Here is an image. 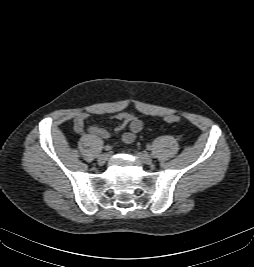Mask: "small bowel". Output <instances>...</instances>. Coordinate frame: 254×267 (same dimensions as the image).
Returning <instances> with one entry per match:
<instances>
[{"label":"small bowel","instance_id":"obj_1","mask_svg":"<svg viewBox=\"0 0 254 267\" xmlns=\"http://www.w3.org/2000/svg\"><path fill=\"white\" fill-rule=\"evenodd\" d=\"M87 118L86 113H79L74 118V129L78 133H84L87 131L88 134L99 137L101 139H108L110 137V133L101 127L92 125L85 129V120ZM115 118L118 120V125L116 127L117 131H122L126 127H128V131L124 132L121 136V140L125 144L132 143L137 134L142 130L143 123L142 121L137 118L136 116L127 113V112H120L115 115Z\"/></svg>","mask_w":254,"mask_h":267}]
</instances>
